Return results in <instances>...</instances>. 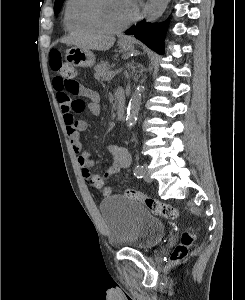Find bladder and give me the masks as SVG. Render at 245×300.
<instances>
[{
	"mask_svg": "<svg viewBox=\"0 0 245 300\" xmlns=\"http://www.w3.org/2000/svg\"><path fill=\"white\" fill-rule=\"evenodd\" d=\"M100 212L112 248L150 250L165 234L164 223L134 200L110 196L100 203Z\"/></svg>",
	"mask_w": 245,
	"mask_h": 300,
	"instance_id": "1",
	"label": "bladder"
}]
</instances>
